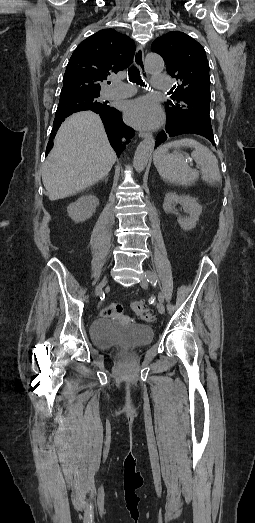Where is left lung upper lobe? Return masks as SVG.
<instances>
[{
    "label": "left lung upper lobe",
    "instance_id": "1",
    "mask_svg": "<svg viewBox=\"0 0 255 523\" xmlns=\"http://www.w3.org/2000/svg\"><path fill=\"white\" fill-rule=\"evenodd\" d=\"M151 49L163 57L168 74L179 80L178 86H174L172 100L166 102L169 118L178 123H195L213 134L209 115V64L204 48L185 33L171 31L157 38Z\"/></svg>",
    "mask_w": 255,
    "mask_h": 523
}]
</instances>
